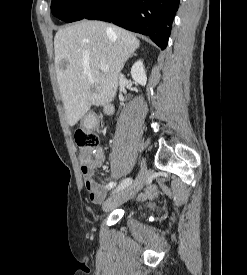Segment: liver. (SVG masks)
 <instances>
[{
	"label": "liver",
	"mask_w": 247,
	"mask_h": 275,
	"mask_svg": "<svg viewBox=\"0 0 247 275\" xmlns=\"http://www.w3.org/2000/svg\"><path fill=\"white\" fill-rule=\"evenodd\" d=\"M140 46L130 32L100 21H81L54 37L55 69L67 121L74 126L92 105L112 101L119 73ZM108 66L106 72L99 66Z\"/></svg>",
	"instance_id": "liver-1"
}]
</instances>
